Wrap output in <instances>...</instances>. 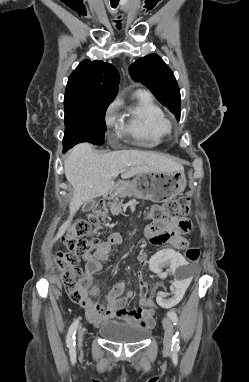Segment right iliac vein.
Instances as JSON below:
<instances>
[{
    "label": "right iliac vein",
    "instance_id": "obj_1",
    "mask_svg": "<svg viewBox=\"0 0 249 382\" xmlns=\"http://www.w3.org/2000/svg\"><path fill=\"white\" fill-rule=\"evenodd\" d=\"M84 329H80L79 332H78V345L81 346L82 342H83V336H84Z\"/></svg>",
    "mask_w": 249,
    "mask_h": 382
}]
</instances>
